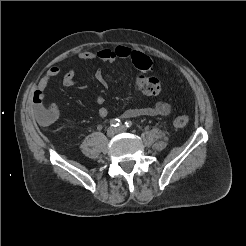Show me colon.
<instances>
[{"instance_id":"obj_1","label":"colon","mask_w":246,"mask_h":246,"mask_svg":"<svg viewBox=\"0 0 246 246\" xmlns=\"http://www.w3.org/2000/svg\"><path fill=\"white\" fill-rule=\"evenodd\" d=\"M131 60L134 66L141 72L149 70L152 66L151 59L147 55L138 51L132 52ZM139 89L146 95L156 96L161 93L162 86L158 78L142 76L139 83ZM33 101L35 104H40L37 97H34ZM188 122L189 115L187 113H180L175 117L173 124L177 128H182L186 126Z\"/></svg>"}]
</instances>
